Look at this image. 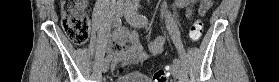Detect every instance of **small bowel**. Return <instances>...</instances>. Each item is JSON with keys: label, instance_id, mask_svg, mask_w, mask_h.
Masks as SVG:
<instances>
[{"label": "small bowel", "instance_id": "small-bowel-1", "mask_svg": "<svg viewBox=\"0 0 279 82\" xmlns=\"http://www.w3.org/2000/svg\"><path fill=\"white\" fill-rule=\"evenodd\" d=\"M195 2L196 0H176L171 6V11L173 14H176L178 11L186 9V18L190 20L194 11L193 5ZM210 6L204 9L202 1L199 7V14L204 15ZM163 46V38L158 37L149 45L148 50H144L139 41L137 32L127 27H121L113 33L112 41L108 44L107 51L112 63V68L116 70L120 67L144 62L150 54L160 53L163 50Z\"/></svg>", "mask_w": 279, "mask_h": 82}]
</instances>
